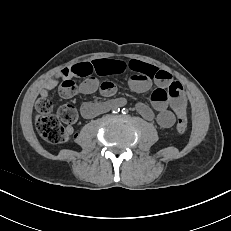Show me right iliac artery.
<instances>
[{"instance_id":"right-iliac-artery-1","label":"right iliac artery","mask_w":231,"mask_h":231,"mask_svg":"<svg viewBox=\"0 0 231 231\" xmlns=\"http://www.w3.org/2000/svg\"><path fill=\"white\" fill-rule=\"evenodd\" d=\"M120 111V108L119 107H114L113 109H112V112L113 113H118Z\"/></svg>"}]
</instances>
